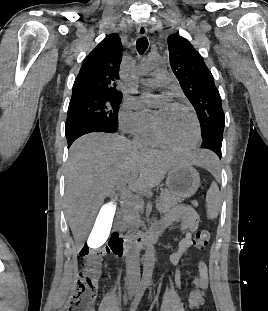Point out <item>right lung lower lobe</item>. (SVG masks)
<instances>
[{
  "label": "right lung lower lobe",
  "mask_w": 268,
  "mask_h": 311,
  "mask_svg": "<svg viewBox=\"0 0 268 311\" xmlns=\"http://www.w3.org/2000/svg\"><path fill=\"white\" fill-rule=\"evenodd\" d=\"M116 130H111L108 128H105L99 124L93 123V122H80L75 124L74 126L70 127L69 129L65 130L67 142H68V148L71 146V144L80 136L91 133V132H108L112 133Z\"/></svg>",
  "instance_id": "obj_1"
}]
</instances>
